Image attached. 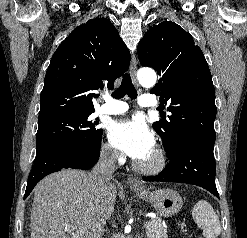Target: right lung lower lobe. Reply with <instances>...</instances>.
I'll return each mask as SVG.
<instances>
[{
    "instance_id": "1",
    "label": "right lung lower lobe",
    "mask_w": 247,
    "mask_h": 238,
    "mask_svg": "<svg viewBox=\"0 0 247 238\" xmlns=\"http://www.w3.org/2000/svg\"><path fill=\"white\" fill-rule=\"evenodd\" d=\"M101 137L90 148H81L77 145H64L52 148L36 156L28 179L24 199L27 198L35 185L50 173L60 171L64 168L90 169L99 159Z\"/></svg>"
}]
</instances>
